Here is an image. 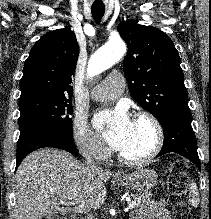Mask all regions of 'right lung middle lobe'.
<instances>
[{
  "mask_svg": "<svg viewBox=\"0 0 211 219\" xmlns=\"http://www.w3.org/2000/svg\"><path fill=\"white\" fill-rule=\"evenodd\" d=\"M70 98L34 97L19 101L20 137L37 130H55L73 135Z\"/></svg>",
  "mask_w": 211,
  "mask_h": 219,
  "instance_id": "1",
  "label": "right lung middle lobe"
}]
</instances>
